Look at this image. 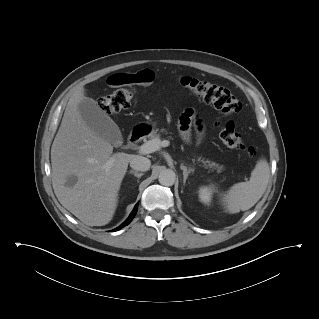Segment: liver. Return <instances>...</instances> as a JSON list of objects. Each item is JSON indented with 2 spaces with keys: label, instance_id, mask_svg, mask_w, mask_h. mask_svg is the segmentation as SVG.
<instances>
[{
  "label": "liver",
  "instance_id": "6515ba94",
  "mask_svg": "<svg viewBox=\"0 0 319 319\" xmlns=\"http://www.w3.org/2000/svg\"><path fill=\"white\" fill-rule=\"evenodd\" d=\"M84 88L69 99L51 147L52 185L59 202L88 226L108 224L115 213L118 192L134 155L113 154L110 142L96 135L82 119L79 103ZM70 176L76 183L65 186Z\"/></svg>",
  "mask_w": 319,
  "mask_h": 319
}]
</instances>
